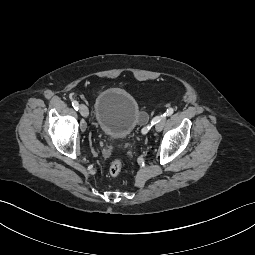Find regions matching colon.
I'll list each match as a JSON object with an SVG mask.
<instances>
[{"label": "colon", "instance_id": "obj_1", "mask_svg": "<svg viewBox=\"0 0 255 255\" xmlns=\"http://www.w3.org/2000/svg\"><path fill=\"white\" fill-rule=\"evenodd\" d=\"M146 117L143 115L141 117V121L145 120ZM122 171V163L119 159H114L110 165H109V169H108V174L111 177H117L118 175H120Z\"/></svg>", "mask_w": 255, "mask_h": 255}]
</instances>
